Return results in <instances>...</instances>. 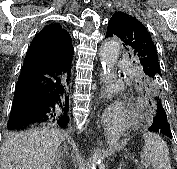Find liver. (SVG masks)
<instances>
[{"label":"liver","instance_id":"liver-1","mask_svg":"<svg viewBox=\"0 0 177 169\" xmlns=\"http://www.w3.org/2000/svg\"><path fill=\"white\" fill-rule=\"evenodd\" d=\"M64 138L49 127L13 133L2 144L0 169H52Z\"/></svg>","mask_w":177,"mask_h":169}]
</instances>
